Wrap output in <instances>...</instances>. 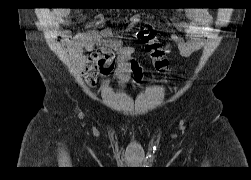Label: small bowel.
I'll return each instance as SVG.
<instances>
[{
    "instance_id": "obj_1",
    "label": "small bowel",
    "mask_w": 251,
    "mask_h": 180,
    "mask_svg": "<svg viewBox=\"0 0 251 180\" xmlns=\"http://www.w3.org/2000/svg\"><path fill=\"white\" fill-rule=\"evenodd\" d=\"M70 10L67 8L58 9L50 13V23L57 27L67 22ZM187 22H177L175 27L183 31L186 37L179 34H172L173 47L176 48L182 57H189L194 52L205 46V37L212 21L211 15L206 9L196 8L186 11ZM139 17L134 16L132 20L138 21ZM100 26L98 30H89L72 35L68 31H60L59 37L66 49L73 55H79L89 51V57L82 69L86 82L94 86L99 78H105L112 72L115 73L120 84L127 82L131 75L136 79L141 78V70L136 61L132 58L131 47L113 37L111 29L104 27L101 18L97 21ZM172 46H168L169 51Z\"/></svg>"
}]
</instances>
